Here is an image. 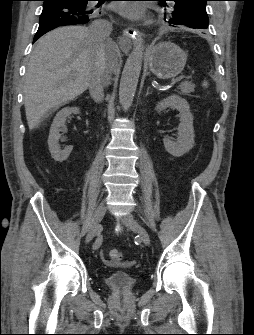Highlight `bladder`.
Segmentation results:
<instances>
[{
  "label": "bladder",
  "mask_w": 254,
  "mask_h": 335,
  "mask_svg": "<svg viewBox=\"0 0 254 335\" xmlns=\"http://www.w3.org/2000/svg\"><path fill=\"white\" fill-rule=\"evenodd\" d=\"M105 282L114 290L126 291L132 288L135 283V278L130 271L115 270L107 275Z\"/></svg>",
  "instance_id": "1"
}]
</instances>
